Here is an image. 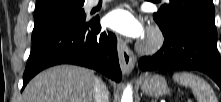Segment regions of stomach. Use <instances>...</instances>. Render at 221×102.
Here are the masks:
<instances>
[{"instance_id": "stomach-1", "label": "stomach", "mask_w": 221, "mask_h": 102, "mask_svg": "<svg viewBox=\"0 0 221 102\" xmlns=\"http://www.w3.org/2000/svg\"><path fill=\"white\" fill-rule=\"evenodd\" d=\"M142 89L145 94L152 97H160L168 92L167 82L160 75L146 76L142 81Z\"/></svg>"}]
</instances>
